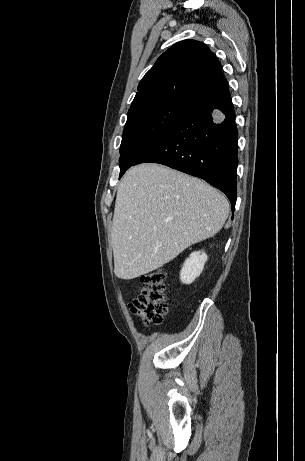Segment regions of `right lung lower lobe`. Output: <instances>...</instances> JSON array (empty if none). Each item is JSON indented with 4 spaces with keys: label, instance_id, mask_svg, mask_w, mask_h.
<instances>
[{
    "label": "right lung lower lobe",
    "instance_id": "1",
    "mask_svg": "<svg viewBox=\"0 0 305 461\" xmlns=\"http://www.w3.org/2000/svg\"><path fill=\"white\" fill-rule=\"evenodd\" d=\"M228 85L191 105L136 164L154 162L199 177L236 202L237 127Z\"/></svg>",
    "mask_w": 305,
    "mask_h": 461
}]
</instances>
